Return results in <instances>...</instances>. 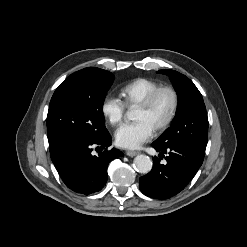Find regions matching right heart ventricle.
<instances>
[{
    "instance_id": "e07e8e85",
    "label": "right heart ventricle",
    "mask_w": 247,
    "mask_h": 247,
    "mask_svg": "<svg viewBox=\"0 0 247 247\" xmlns=\"http://www.w3.org/2000/svg\"><path fill=\"white\" fill-rule=\"evenodd\" d=\"M160 84L149 78H136L125 84L120 91L126 106H135L141 103L147 95Z\"/></svg>"
}]
</instances>
